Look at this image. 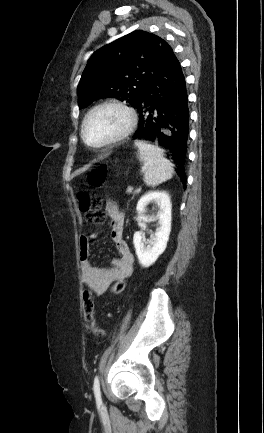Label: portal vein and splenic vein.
Returning <instances> with one entry per match:
<instances>
[{
    "label": "portal vein and splenic vein",
    "instance_id": "obj_1",
    "mask_svg": "<svg viewBox=\"0 0 264 433\" xmlns=\"http://www.w3.org/2000/svg\"><path fill=\"white\" fill-rule=\"evenodd\" d=\"M132 191H133V188H131V187H128V188H127V192H128V193H132Z\"/></svg>",
    "mask_w": 264,
    "mask_h": 433
}]
</instances>
